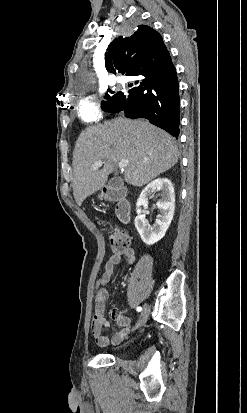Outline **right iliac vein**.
Wrapping results in <instances>:
<instances>
[{
	"label": "right iliac vein",
	"instance_id": "1",
	"mask_svg": "<svg viewBox=\"0 0 247 413\" xmlns=\"http://www.w3.org/2000/svg\"><path fill=\"white\" fill-rule=\"evenodd\" d=\"M149 316V307L144 305L143 310L141 312L140 318L136 325L134 326L133 330L139 329L145 325Z\"/></svg>",
	"mask_w": 247,
	"mask_h": 413
}]
</instances>
